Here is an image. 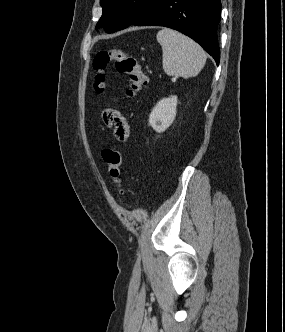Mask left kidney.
Here are the masks:
<instances>
[{"label": "left kidney", "mask_w": 285, "mask_h": 332, "mask_svg": "<svg viewBox=\"0 0 285 332\" xmlns=\"http://www.w3.org/2000/svg\"><path fill=\"white\" fill-rule=\"evenodd\" d=\"M177 96L160 100L152 109L149 116V125L158 133L164 132L176 117Z\"/></svg>", "instance_id": "1"}]
</instances>
